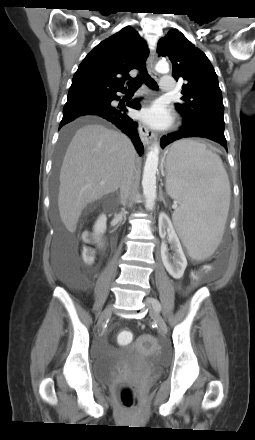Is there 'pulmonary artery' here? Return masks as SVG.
I'll use <instances>...</instances> for the list:
<instances>
[{"label":"pulmonary artery","mask_w":255,"mask_h":440,"mask_svg":"<svg viewBox=\"0 0 255 440\" xmlns=\"http://www.w3.org/2000/svg\"><path fill=\"white\" fill-rule=\"evenodd\" d=\"M160 87L164 92H172L175 88L174 78L171 75H164L160 81Z\"/></svg>","instance_id":"obj_1"}]
</instances>
